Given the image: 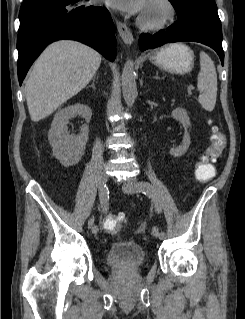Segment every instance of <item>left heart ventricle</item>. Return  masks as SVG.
I'll return each instance as SVG.
<instances>
[{
  "label": "left heart ventricle",
  "mask_w": 245,
  "mask_h": 319,
  "mask_svg": "<svg viewBox=\"0 0 245 319\" xmlns=\"http://www.w3.org/2000/svg\"><path fill=\"white\" fill-rule=\"evenodd\" d=\"M142 14L149 20H158L164 16V9L156 3L146 4Z\"/></svg>",
  "instance_id": "1"
}]
</instances>
